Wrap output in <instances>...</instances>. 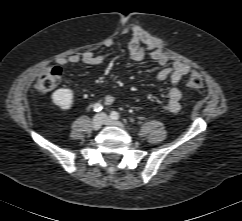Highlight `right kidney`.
Wrapping results in <instances>:
<instances>
[{"mask_svg":"<svg viewBox=\"0 0 242 221\" xmlns=\"http://www.w3.org/2000/svg\"><path fill=\"white\" fill-rule=\"evenodd\" d=\"M52 101L62 110H68L73 105V92L70 89L61 88L53 92Z\"/></svg>","mask_w":242,"mask_h":221,"instance_id":"ca27d5eb","label":"right kidney"}]
</instances>
